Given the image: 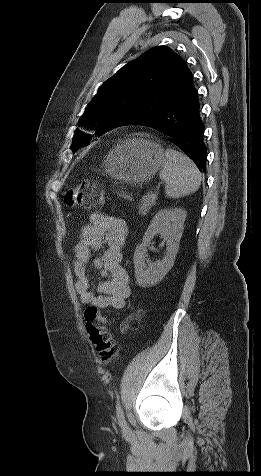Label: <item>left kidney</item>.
Returning <instances> with one entry per match:
<instances>
[{
    "instance_id": "left-kidney-1",
    "label": "left kidney",
    "mask_w": 261,
    "mask_h": 476,
    "mask_svg": "<svg viewBox=\"0 0 261 476\" xmlns=\"http://www.w3.org/2000/svg\"><path fill=\"white\" fill-rule=\"evenodd\" d=\"M186 214L182 208H170L160 210L153 217L133 257L135 278L140 287L158 284L173 267ZM157 234L166 242V255L161 261L150 263L146 260L147 247Z\"/></svg>"
}]
</instances>
